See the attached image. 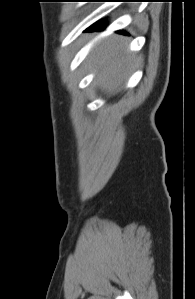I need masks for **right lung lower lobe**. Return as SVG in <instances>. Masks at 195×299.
Listing matches in <instances>:
<instances>
[{"label":"right lung lower lobe","mask_w":195,"mask_h":299,"mask_svg":"<svg viewBox=\"0 0 195 299\" xmlns=\"http://www.w3.org/2000/svg\"><path fill=\"white\" fill-rule=\"evenodd\" d=\"M103 28H104V25H103L102 21H99L96 24L92 25L88 30L89 31H91V30H100V29H103Z\"/></svg>","instance_id":"98d812e1"}]
</instances>
